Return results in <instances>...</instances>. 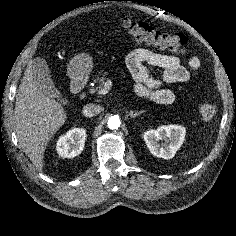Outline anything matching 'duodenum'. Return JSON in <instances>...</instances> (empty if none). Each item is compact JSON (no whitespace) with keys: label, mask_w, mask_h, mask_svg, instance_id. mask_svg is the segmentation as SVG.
<instances>
[{"label":"duodenum","mask_w":236,"mask_h":236,"mask_svg":"<svg viewBox=\"0 0 236 236\" xmlns=\"http://www.w3.org/2000/svg\"><path fill=\"white\" fill-rule=\"evenodd\" d=\"M85 82L83 79L77 78L72 81L70 91L73 95H78L84 89Z\"/></svg>","instance_id":"duodenum-1"}]
</instances>
